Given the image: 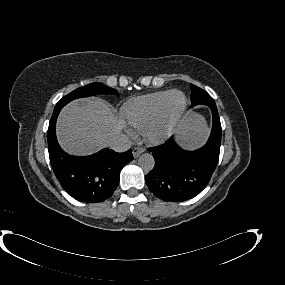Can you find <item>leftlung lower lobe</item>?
I'll list each match as a JSON object with an SVG mask.
<instances>
[{"label":"left lung lower lobe","mask_w":285,"mask_h":285,"mask_svg":"<svg viewBox=\"0 0 285 285\" xmlns=\"http://www.w3.org/2000/svg\"><path fill=\"white\" fill-rule=\"evenodd\" d=\"M213 115V127L206 145L196 151L182 150L172 139L148 149L155 166L145 177L149 190L164 201H185L208 184L219 160L221 123L215 102L206 104Z\"/></svg>","instance_id":"0a47b994"}]
</instances>
